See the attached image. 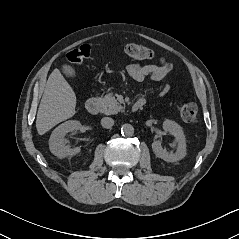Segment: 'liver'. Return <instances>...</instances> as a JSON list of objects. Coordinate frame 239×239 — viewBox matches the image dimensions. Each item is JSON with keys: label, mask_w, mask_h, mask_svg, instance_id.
<instances>
[{"label": "liver", "mask_w": 239, "mask_h": 239, "mask_svg": "<svg viewBox=\"0 0 239 239\" xmlns=\"http://www.w3.org/2000/svg\"><path fill=\"white\" fill-rule=\"evenodd\" d=\"M76 95L58 69L50 74L38 108L36 128L39 135L75 114Z\"/></svg>", "instance_id": "1"}]
</instances>
